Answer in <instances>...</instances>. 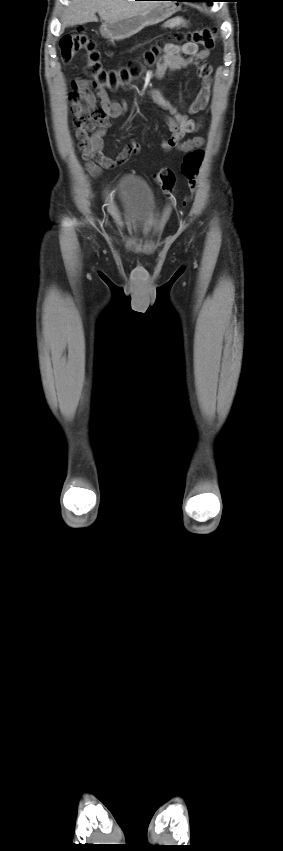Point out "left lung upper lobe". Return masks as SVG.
<instances>
[{
  "label": "left lung upper lobe",
  "instance_id": "1",
  "mask_svg": "<svg viewBox=\"0 0 283 851\" xmlns=\"http://www.w3.org/2000/svg\"><path fill=\"white\" fill-rule=\"evenodd\" d=\"M200 1H206V2H209V1H214V0H200Z\"/></svg>",
  "mask_w": 283,
  "mask_h": 851
}]
</instances>
